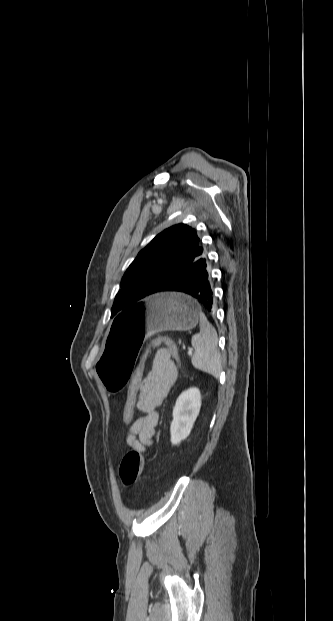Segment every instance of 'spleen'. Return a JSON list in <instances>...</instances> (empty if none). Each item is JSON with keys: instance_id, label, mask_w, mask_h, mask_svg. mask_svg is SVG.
<instances>
[{"instance_id": "spleen-1", "label": "spleen", "mask_w": 333, "mask_h": 621, "mask_svg": "<svg viewBox=\"0 0 333 621\" xmlns=\"http://www.w3.org/2000/svg\"><path fill=\"white\" fill-rule=\"evenodd\" d=\"M199 324L200 332L195 334L191 340V344L195 349L191 359L192 365L196 369L218 378L222 370V364L221 354L218 350L217 332L205 315L200 319Z\"/></svg>"}]
</instances>
